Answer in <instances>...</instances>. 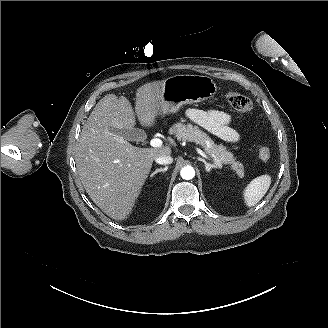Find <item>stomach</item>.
Returning a JSON list of instances; mask_svg holds the SVG:
<instances>
[{"label":"stomach","instance_id":"1","mask_svg":"<svg viewBox=\"0 0 328 328\" xmlns=\"http://www.w3.org/2000/svg\"><path fill=\"white\" fill-rule=\"evenodd\" d=\"M217 85L209 76L174 75L162 81L156 116L176 113L182 105L212 98Z\"/></svg>","mask_w":328,"mask_h":328}]
</instances>
